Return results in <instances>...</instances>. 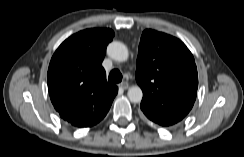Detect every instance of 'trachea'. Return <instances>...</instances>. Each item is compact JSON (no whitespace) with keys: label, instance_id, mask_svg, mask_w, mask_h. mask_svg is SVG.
Instances as JSON below:
<instances>
[{"label":"trachea","instance_id":"obj_1","mask_svg":"<svg viewBox=\"0 0 244 157\" xmlns=\"http://www.w3.org/2000/svg\"><path fill=\"white\" fill-rule=\"evenodd\" d=\"M111 83H120L122 81V74L118 69H114L110 72L108 77Z\"/></svg>","mask_w":244,"mask_h":157}]
</instances>
